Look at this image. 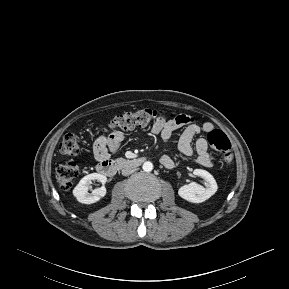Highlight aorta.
<instances>
[{
    "label": "aorta",
    "instance_id": "762f6f07",
    "mask_svg": "<svg viewBox=\"0 0 289 289\" xmlns=\"http://www.w3.org/2000/svg\"><path fill=\"white\" fill-rule=\"evenodd\" d=\"M142 169L145 172H151L153 170V164L149 161L143 163Z\"/></svg>",
    "mask_w": 289,
    "mask_h": 289
}]
</instances>
